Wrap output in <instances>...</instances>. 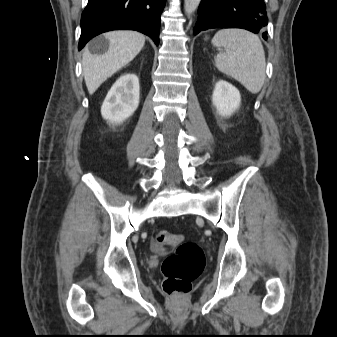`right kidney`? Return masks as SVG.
I'll return each mask as SVG.
<instances>
[{"instance_id":"obj_1","label":"right kidney","mask_w":337,"mask_h":337,"mask_svg":"<svg viewBox=\"0 0 337 337\" xmlns=\"http://www.w3.org/2000/svg\"><path fill=\"white\" fill-rule=\"evenodd\" d=\"M139 105V79L133 73L120 76L113 84L101 106L102 117L120 124L133 115Z\"/></svg>"}]
</instances>
